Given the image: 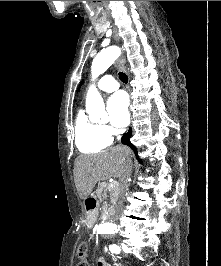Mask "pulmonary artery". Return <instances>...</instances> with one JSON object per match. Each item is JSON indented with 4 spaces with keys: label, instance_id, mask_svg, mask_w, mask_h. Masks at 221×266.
<instances>
[{
    "label": "pulmonary artery",
    "instance_id": "obj_1",
    "mask_svg": "<svg viewBox=\"0 0 221 266\" xmlns=\"http://www.w3.org/2000/svg\"><path fill=\"white\" fill-rule=\"evenodd\" d=\"M119 88L118 82L111 75H104L97 84V89L101 92L111 93Z\"/></svg>",
    "mask_w": 221,
    "mask_h": 266
}]
</instances>
